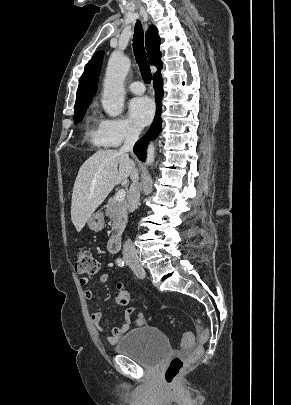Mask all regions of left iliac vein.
Segmentation results:
<instances>
[{"instance_id": "4c4485c4", "label": "left iliac vein", "mask_w": 291, "mask_h": 405, "mask_svg": "<svg viewBox=\"0 0 291 405\" xmlns=\"http://www.w3.org/2000/svg\"><path fill=\"white\" fill-rule=\"evenodd\" d=\"M135 275L139 278L145 277V270L141 266H132Z\"/></svg>"}]
</instances>
